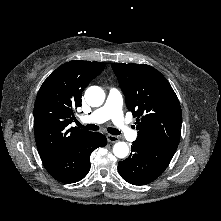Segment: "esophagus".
Instances as JSON below:
<instances>
[{"label":"esophagus","mask_w":221,"mask_h":221,"mask_svg":"<svg viewBox=\"0 0 221 221\" xmlns=\"http://www.w3.org/2000/svg\"><path fill=\"white\" fill-rule=\"evenodd\" d=\"M107 140H108V142L114 143V142H117L119 140V138H118V136L108 134Z\"/></svg>","instance_id":"obj_1"}]
</instances>
